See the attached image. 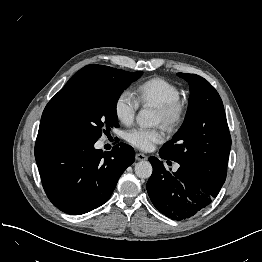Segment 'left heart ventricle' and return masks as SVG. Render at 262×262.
<instances>
[{
    "instance_id": "left-heart-ventricle-1",
    "label": "left heart ventricle",
    "mask_w": 262,
    "mask_h": 262,
    "mask_svg": "<svg viewBox=\"0 0 262 262\" xmlns=\"http://www.w3.org/2000/svg\"><path fill=\"white\" fill-rule=\"evenodd\" d=\"M156 122L160 123L161 122V117L158 114V112H156Z\"/></svg>"
}]
</instances>
